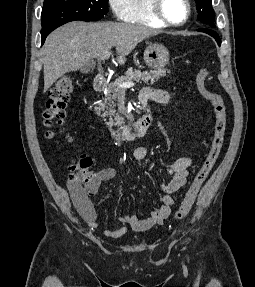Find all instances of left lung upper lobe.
Here are the masks:
<instances>
[{
  "label": "left lung upper lobe",
  "mask_w": 255,
  "mask_h": 287,
  "mask_svg": "<svg viewBox=\"0 0 255 287\" xmlns=\"http://www.w3.org/2000/svg\"><path fill=\"white\" fill-rule=\"evenodd\" d=\"M197 4V11L199 13V20L207 24L213 28L216 26L214 25L215 21V13L212 8V0H195Z\"/></svg>",
  "instance_id": "1"
}]
</instances>
